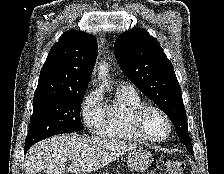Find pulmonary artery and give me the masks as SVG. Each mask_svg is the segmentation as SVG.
Instances as JSON below:
<instances>
[{
    "mask_svg": "<svg viewBox=\"0 0 224 174\" xmlns=\"http://www.w3.org/2000/svg\"><path fill=\"white\" fill-rule=\"evenodd\" d=\"M120 88L121 89H126V90H134L133 85H131L129 83H122V84H120Z\"/></svg>",
    "mask_w": 224,
    "mask_h": 174,
    "instance_id": "obj_1",
    "label": "pulmonary artery"
}]
</instances>
